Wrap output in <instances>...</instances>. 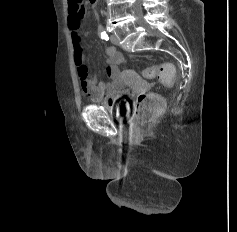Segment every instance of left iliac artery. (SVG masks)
<instances>
[{"label": "left iliac artery", "mask_w": 237, "mask_h": 232, "mask_svg": "<svg viewBox=\"0 0 237 232\" xmlns=\"http://www.w3.org/2000/svg\"><path fill=\"white\" fill-rule=\"evenodd\" d=\"M98 33L100 35V37L104 40H108L109 37L108 35L106 34L105 30H104V27L102 25H99L98 26Z\"/></svg>", "instance_id": "obj_1"}]
</instances>
